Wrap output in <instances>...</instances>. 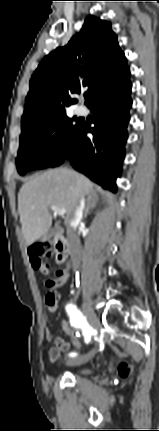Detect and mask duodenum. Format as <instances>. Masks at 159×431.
Here are the masks:
<instances>
[{
	"instance_id": "obj_1",
	"label": "duodenum",
	"mask_w": 159,
	"mask_h": 431,
	"mask_svg": "<svg viewBox=\"0 0 159 431\" xmlns=\"http://www.w3.org/2000/svg\"><path fill=\"white\" fill-rule=\"evenodd\" d=\"M53 244L56 252V259L59 263L64 262L69 256V245L67 240L60 234L53 238Z\"/></svg>"
}]
</instances>
